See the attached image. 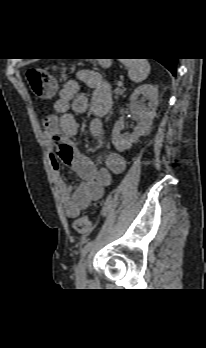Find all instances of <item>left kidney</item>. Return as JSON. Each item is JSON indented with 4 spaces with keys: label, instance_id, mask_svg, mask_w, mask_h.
<instances>
[{
    "label": "left kidney",
    "instance_id": "obj_1",
    "mask_svg": "<svg viewBox=\"0 0 206 348\" xmlns=\"http://www.w3.org/2000/svg\"><path fill=\"white\" fill-rule=\"evenodd\" d=\"M140 95H142V98L138 100ZM146 100H148L147 105L144 103ZM130 101L131 113L137 120V126L133 133L123 136L121 134L124 128L123 121L119 119L115 123L112 131V143L119 152L129 149L140 136L149 132L159 104L158 90L151 84H143L134 89ZM120 114H123V109L120 110Z\"/></svg>",
    "mask_w": 206,
    "mask_h": 348
}]
</instances>
